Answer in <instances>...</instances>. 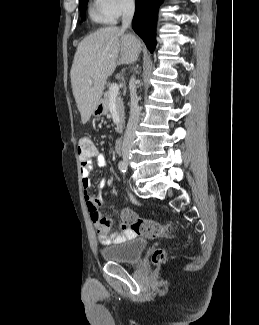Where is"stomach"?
<instances>
[{"label":"stomach","instance_id":"1","mask_svg":"<svg viewBox=\"0 0 259 325\" xmlns=\"http://www.w3.org/2000/svg\"><path fill=\"white\" fill-rule=\"evenodd\" d=\"M105 113H106L105 103L103 100H101L95 107V109L93 111V115L96 117H100V116L104 115Z\"/></svg>","mask_w":259,"mask_h":325}]
</instances>
